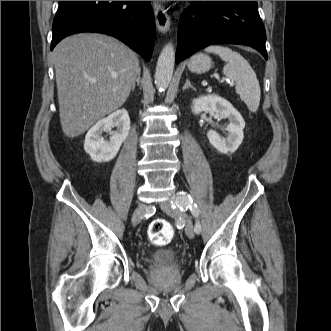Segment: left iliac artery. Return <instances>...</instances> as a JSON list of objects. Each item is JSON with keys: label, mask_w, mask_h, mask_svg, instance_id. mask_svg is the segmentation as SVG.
I'll list each match as a JSON object with an SVG mask.
<instances>
[{"label": "left iliac artery", "mask_w": 331, "mask_h": 331, "mask_svg": "<svg viewBox=\"0 0 331 331\" xmlns=\"http://www.w3.org/2000/svg\"><path fill=\"white\" fill-rule=\"evenodd\" d=\"M173 209L179 208L180 210H190L192 215L196 218V223L194 230L197 234L201 232V224L198 220L199 216V209L195 203H193L192 199L190 198V195H188L186 192H179L178 197L171 201Z\"/></svg>", "instance_id": "44dca946"}]
</instances>
